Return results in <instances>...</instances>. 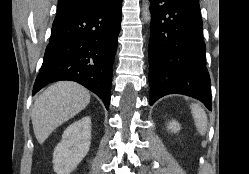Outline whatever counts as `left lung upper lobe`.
<instances>
[{
  "mask_svg": "<svg viewBox=\"0 0 249 174\" xmlns=\"http://www.w3.org/2000/svg\"><path fill=\"white\" fill-rule=\"evenodd\" d=\"M186 1L189 4H191V5H193V6L197 7V8H200L198 0H186Z\"/></svg>",
  "mask_w": 249,
  "mask_h": 174,
  "instance_id": "left-lung-upper-lobe-1",
  "label": "left lung upper lobe"
}]
</instances>
